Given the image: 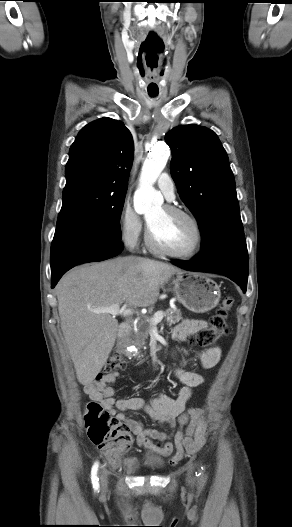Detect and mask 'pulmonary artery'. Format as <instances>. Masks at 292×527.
Segmentation results:
<instances>
[{"label": "pulmonary artery", "mask_w": 292, "mask_h": 527, "mask_svg": "<svg viewBox=\"0 0 292 527\" xmlns=\"http://www.w3.org/2000/svg\"><path fill=\"white\" fill-rule=\"evenodd\" d=\"M157 186L168 200L175 197V185L167 173H162L157 179Z\"/></svg>", "instance_id": "pulmonary-artery-1"}]
</instances>
